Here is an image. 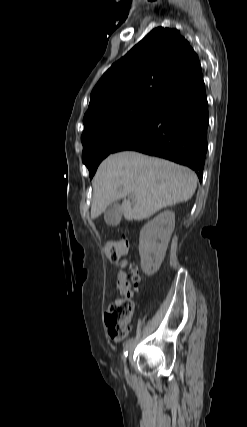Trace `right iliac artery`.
Segmentation results:
<instances>
[{"mask_svg": "<svg viewBox=\"0 0 247 427\" xmlns=\"http://www.w3.org/2000/svg\"><path fill=\"white\" fill-rule=\"evenodd\" d=\"M133 342V339H129L128 341H126L125 345H124V350H123V357L126 358L128 356V350L129 347L131 346Z\"/></svg>", "mask_w": 247, "mask_h": 427, "instance_id": "1", "label": "right iliac artery"}]
</instances>
